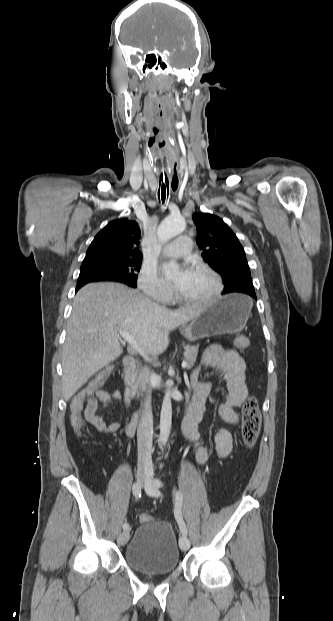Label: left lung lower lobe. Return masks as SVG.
Segmentation results:
<instances>
[{
  "label": "left lung lower lobe",
  "mask_w": 333,
  "mask_h": 621,
  "mask_svg": "<svg viewBox=\"0 0 333 621\" xmlns=\"http://www.w3.org/2000/svg\"><path fill=\"white\" fill-rule=\"evenodd\" d=\"M240 293L247 294V295L251 296L253 299L257 300V298H256V294H255V292H254V291L244 290V291H241Z\"/></svg>",
  "instance_id": "left-lung-lower-lobe-1"
}]
</instances>
